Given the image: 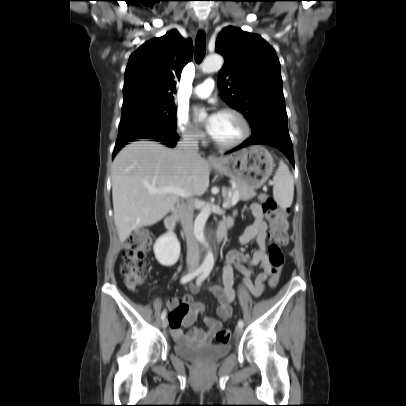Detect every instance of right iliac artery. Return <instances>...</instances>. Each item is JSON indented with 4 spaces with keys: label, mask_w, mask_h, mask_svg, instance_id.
<instances>
[{
    "label": "right iliac artery",
    "mask_w": 406,
    "mask_h": 406,
    "mask_svg": "<svg viewBox=\"0 0 406 406\" xmlns=\"http://www.w3.org/2000/svg\"><path fill=\"white\" fill-rule=\"evenodd\" d=\"M205 268L200 267L198 269H196L195 271L183 276L180 280L181 284H185L189 281H191L193 278H195L196 276H198L199 274H201L202 272H204ZM166 318V311H163L161 314V319L164 320Z\"/></svg>",
    "instance_id": "obj_1"
}]
</instances>
